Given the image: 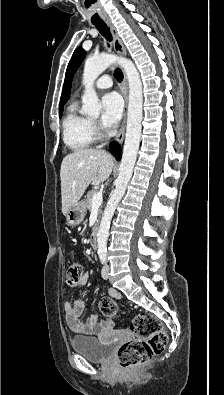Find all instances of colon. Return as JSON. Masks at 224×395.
<instances>
[{"instance_id": "colon-1", "label": "colon", "mask_w": 224, "mask_h": 395, "mask_svg": "<svg viewBox=\"0 0 224 395\" xmlns=\"http://www.w3.org/2000/svg\"><path fill=\"white\" fill-rule=\"evenodd\" d=\"M69 282L75 284L82 276L81 266L72 262L66 270ZM100 310L108 317L121 318L117 304L110 298H102ZM131 330L135 338L124 343L117 352V360L122 369H136L152 358L160 355L167 345V333L162 323L149 313H141L134 317Z\"/></svg>"}]
</instances>
